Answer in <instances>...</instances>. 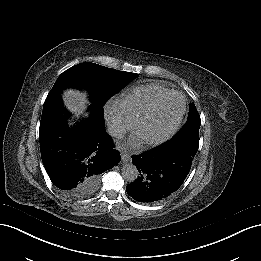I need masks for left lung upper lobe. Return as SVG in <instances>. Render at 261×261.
<instances>
[{
  "label": "left lung upper lobe",
  "instance_id": "left-lung-upper-lobe-1",
  "mask_svg": "<svg viewBox=\"0 0 261 261\" xmlns=\"http://www.w3.org/2000/svg\"><path fill=\"white\" fill-rule=\"evenodd\" d=\"M189 114L187 122L183 128L174 137L176 140H184L196 147L199 145V128L201 124L200 116L197 112L195 104L191 103L189 106Z\"/></svg>",
  "mask_w": 261,
  "mask_h": 261
}]
</instances>
